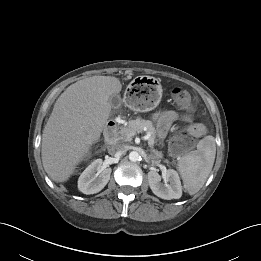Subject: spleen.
Here are the masks:
<instances>
[{
  "label": "spleen",
  "instance_id": "3e777b00",
  "mask_svg": "<svg viewBox=\"0 0 261 261\" xmlns=\"http://www.w3.org/2000/svg\"><path fill=\"white\" fill-rule=\"evenodd\" d=\"M216 155L213 136H206L197 144V150L183 156L178 163V171L184 188L190 195L196 194L211 173Z\"/></svg>",
  "mask_w": 261,
  "mask_h": 261
}]
</instances>
